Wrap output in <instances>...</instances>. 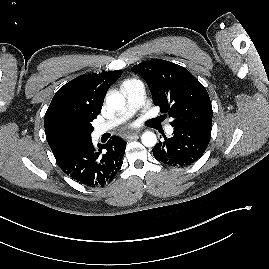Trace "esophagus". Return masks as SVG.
I'll return each mask as SVG.
<instances>
[{"label":"esophagus","mask_w":269,"mask_h":269,"mask_svg":"<svg viewBox=\"0 0 269 269\" xmlns=\"http://www.w3.org/2000/svg\"><path fill=\"white\" fill-rule=\"evenodd\" d=\"M137 136H138L137 132L128 133V134L125 135V139H133V138H136Z\"/></svg>","instance_id":"esophagus-1"}]
</instances>
